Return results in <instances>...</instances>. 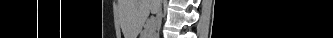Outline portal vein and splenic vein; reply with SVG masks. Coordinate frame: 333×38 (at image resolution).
I'll return each mask as SVG.
<instances>
[{
    "label": "portal vein and splenic vein",
    "instance_id": "obj_1",
    "mask_svg": "<svg viewBox=\"0 0 333 38\" xmlns=\"http://www.w3.org/2000/svg\"><path fill=\"white\" fill-rule=\"evenodd\" d=\"M155 18L154 17H151V20H150V25H154V20Z\"/></svg>",
    "mask_w": 333,
    "mask_h": 38
}]
</instances>
